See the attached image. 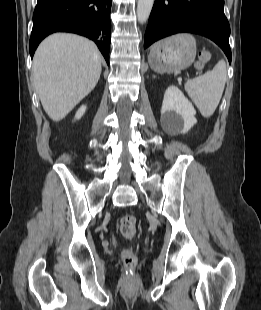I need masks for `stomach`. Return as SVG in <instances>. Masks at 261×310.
Wrapping results in <instances>:
<instances>
[{"label": "stomach", "instance_id": "stomach-1", "mask_svg": "<svg viewBox=\"0 0 261 310\" xmlns=\"http://www.w3.org/2000/svg\"><path fill=\"white\" fill-rule=\"evenodd\" d=\"M196 51V41L191 35H175L153 45L148 61L157 73H173L188 68Z\"/></svg>", "mask_w": 261, "mask_h": 310}]
</instances>
